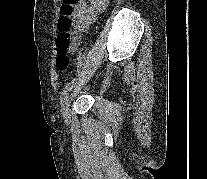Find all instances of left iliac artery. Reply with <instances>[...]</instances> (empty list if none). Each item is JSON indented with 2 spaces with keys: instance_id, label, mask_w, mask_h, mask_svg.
<instances>
[{
  "instance_id": "obj_1",
  "label": "left iliac artery",
  "mask_w": 207,
  "mask_h": 179,
  "mask_svg": "<svg viewBox=\"0 0 207 179\" xmlns=\"http://www.w3.org/2000/svg\"><path fill=\"white\" fill-rule=\"evenodd\" d=\"M75 81H76V79L74 78L70 83H68V85L63 90L62 98H61V101H60L61 105H63V103L67 100L68 92L71 91V89L73 88V85H74Z\"/></svg>"
}]
</instances>
